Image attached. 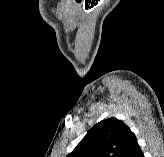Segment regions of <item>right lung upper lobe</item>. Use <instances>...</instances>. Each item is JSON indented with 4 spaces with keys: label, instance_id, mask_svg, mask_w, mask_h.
Segmentation results:
<instances>
[{
    "label": "right lung upper lobe",
    "instance_id": "cb5924a9",
    "mask_svg": "<svg viewBox=\"0 0 164 157\" xmlns=\"http://www.w3.org/2000/svg\"><path fill=\"white\" fill-rule=\"evenodd\" d=\"M135 141L127 125L109 118L94 125L67 157H124Z\"/></svg>",
    "mask_w": 164,
    "mask_h": 157
}]
</instances>
